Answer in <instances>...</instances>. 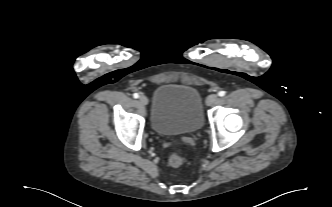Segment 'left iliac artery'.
Segmentation results:
<instances>
[{
  "mask_svg": "<svg viewBox=\"0 0 332 207\" xmlns=\"http://www.w3.org/2000/svg\"><path fill=\"white\" fill-rule=\"evenodd\" d=\"M225 94H226L225 91H220V92L218 93V95L221 96V97H223Z\"/></svg>",
  "mask_w": 332,
  "mask_h": 207,
  "instance_id": "left-iliac-artery-1",
  "label": "left iliac artery"
}]
</instances>
